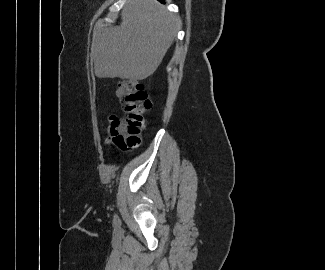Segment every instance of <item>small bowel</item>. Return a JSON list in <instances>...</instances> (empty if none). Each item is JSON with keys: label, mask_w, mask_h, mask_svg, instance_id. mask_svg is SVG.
I'll use <instances>...</instances> for the list:
<instances>
[{"label": "small bowel", "mask_w": 325, "mask_h": 270, "mask_svg": "<svg viewBox=\"0 0 325 270\" xmlns=\"http://www.w3.org/2000/svg\"><path fill=\"white\" fill-rule=\"evenodd\" d=\"M117 117L112 115L109 118V127H108V133H109V137L107 139V142L110 143L112 142V135H111V123L116 119Z\"/></svg>", "instance_id": "obj_1"}]
</instances>
